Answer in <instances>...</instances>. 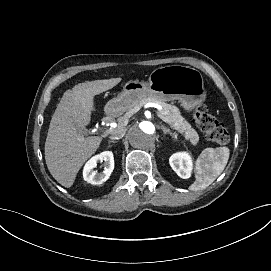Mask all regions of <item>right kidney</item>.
<instances>
[{"instance_id":"ca27d5eb","label":"right kidney","mask_w":271,"mask_h":271,"mask_svg":"<svg viewBox=\"0 0 271 271\" xmlns=\"http://www.w3.org/2000/svg\"><path fill=\"white\" fill-rule=\"evenodd\" d=\"M98 162H103L104 171L97 172L94 168L97 167ZM114 170V158L113 153L110 151H104L99 155L93 157L85 165L83 170V177L85 182L98 185L109 179L112 171Z\"/></svg>"}]
</instances>
